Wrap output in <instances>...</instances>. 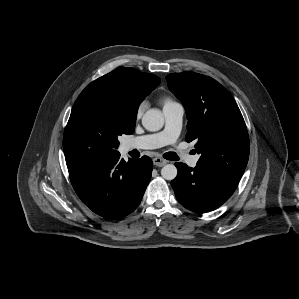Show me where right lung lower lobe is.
<instances>
[{"instance_id":"98d812e1","label":"right lung lower lobe","mask_w":299,"mask_h":299,"mask_svg":"<svg viewBox=\"0 0 299 299\" xmlns=\"http://www.w3.org/2000/svg\"><path fill=\"white\" fill-rule=\"evenodd\" d=\"M66 164L82 202L108 219L122 218L137 208L153 168L148 156L125 162L119 153L92 161L66 160Z\"/></svg>"}]
</instances>
